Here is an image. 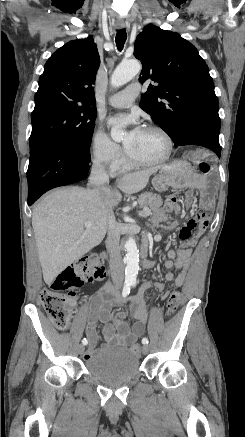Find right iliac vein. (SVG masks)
I'll list each match as a JSON object with an SVG mask.
<instances>
[{
	"label": "right iliac vein",
	"instance_id": "obj_1",
	"mask_svg": "<svg viewBox=\"0 0 245 437\" xmlns=\"http://www.w3.org/2000/svg\"><path fill=\"white\" fill-rule=\"evenodd\" d=\"M84 350H85V346H84V345H79V346H78V352H79L80 354H82V353L84 352Z\"/></svg>",
	"mask_w": 245,
	"mask_h": 437
}]
</instances>
